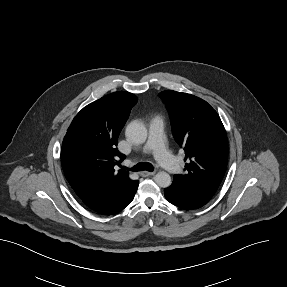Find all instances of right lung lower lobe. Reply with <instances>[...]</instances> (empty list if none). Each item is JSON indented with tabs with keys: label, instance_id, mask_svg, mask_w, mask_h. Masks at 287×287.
<instances>
[{
	"label": "right lung lower lobe",
	"instance_id": "obj_1",
	"mask_svg": "<svg viewBox=\"0 0 287 287\" xmlns=\"http://www.w3.org/2000/svg\"><path fill=\"white\" fill-rule=\"evenodd\" d=\"M138 185L139 181L136 180L124 185L108 186L79 198L92 211L102 215H112L131 203Z\"/></svg>",
	"mask_w": 287,
	"mask_h": 287
}]
</instances>
